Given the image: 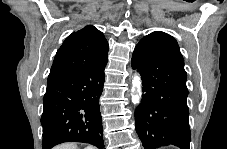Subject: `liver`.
<instances>
[{
  "mask_svg": "<svg viewBox=\"0 0 227 149\" xmlns=\"http://www.w3.org/2000/svg\"><path fill=\"white\" fill-rule=\"evenodd\" d=\"M55 149H77V145L75 143H65L56 146Z\"/></svg>",
  "mask_w": 227,
  "mask_h": 149,
  "instance_id": "obj_1",
  "label": "liver"
}]
</instances>
